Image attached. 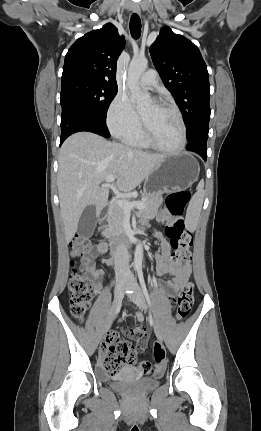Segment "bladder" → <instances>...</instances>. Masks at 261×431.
<instances>
[{
    "label": "bladder",
    "mask_w": 261,
    "mask_h": 431,
    "mask_svg": "<svg viewBox=\"0 0 261 431\" xmlns=\"http://www.w3.org/2000/svg\"><path fill=\"white\" fill-rule=\"evenodd\" d=\"M160 375H155V377H140L134 369L124 368L111 378L110 385L113 390L120 393L143 395L151 392L158 386Z\"/></svg>",
    "instance_id": "obj_1"
}]
</instances>
